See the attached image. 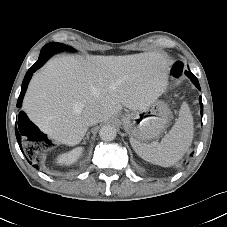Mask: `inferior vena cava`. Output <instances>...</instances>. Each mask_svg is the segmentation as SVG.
Instances as JSON below:
<instances>
[{
  "mask_svg": "<svg viewBox=\"0 0 227 227\" xmlns=\"http://www.w3.org/2000/svg\"><path fill=\"white\" fill-rule=\"evenodd\" d=\"M98 122V113L91 110L87 113V123L89 126L94 125Z\"/></svg>",
  "mask_w": 227,
  "mask_h": 227,
  "instance_id": "602c4592",
  "label": "inferior vena cava"
}]
</instances>
